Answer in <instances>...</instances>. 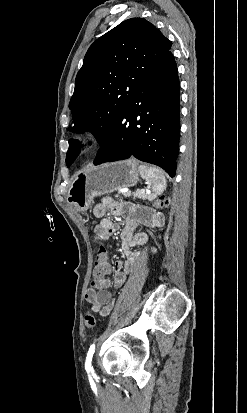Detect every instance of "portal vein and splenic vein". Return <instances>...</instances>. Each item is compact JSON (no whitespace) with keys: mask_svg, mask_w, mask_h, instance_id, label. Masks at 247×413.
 Returning a JSON list of instances; mask_svg holds the SVG:
<instances>
[{"mask_svg":"<svg viewBox=\"0 0 247 413\" xmlns=\"http://www.w3.org/2000/svg\"><path fill=\"white\" fill-rule=\"evenodd\" d=\"M141 190H143V192H144V188H141Z\"/></svg>","mask_w":247,"mask_h":413,"instance_id":"portal-vein-and-splenic-vein-1","label":"portal vein and splenic vein"}]
</instances>
